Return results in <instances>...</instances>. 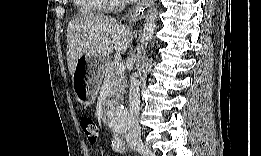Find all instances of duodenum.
<instances>
[{
  "mask_svg": "<svg viewBox=\"0 0 261 156\" xmlns=\"http://www.w3.org/2000/svg\"><path fill=\"white\" fill-rule=\"evenodd\" d=\"M109 102L116 104V103L120 102V99H119L118 96H112V97L109 98Z\"/></svg>",
  "mask_w": 261,
  "mask_h": 156,
  "instance_id": "duodenum-1",
  "label": "duodenum"
}]
</instances>
